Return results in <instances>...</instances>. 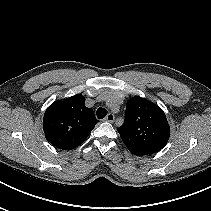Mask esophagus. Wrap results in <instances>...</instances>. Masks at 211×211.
Here are the masks:
<instances>
[{"instance_id": "1", "label": "esophagus", "mask_w": 211, "mask_h": 211, "mask_svg": "<svg viewBox=\"0 0 211 211\" xmlns=\"http://www.w3.org/2000/svg\"><path fill=\"white\" fill-rule=\"evenodd\" d=\"M114 119H115V116H114V114H112V113H109V114L106 116V118H105V120H106L107 122H110V123L114 122Z\"/></svg>"}]
</instances>
